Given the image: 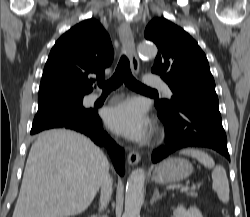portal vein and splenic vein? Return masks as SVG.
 <instances>
[{
  "instance_id": "1",
  "label": "portal vein and splenic vein",
  "mask_w": 250,
  "mask_h": 217,
  "mask_svg": "<svg viewBox=\"0 0 250 217\" xmlns=\"http://www.w3.org/2000/svg\"><path fill=\"white\" fill-rule=\"evenodd\" d=\"M189 188H190V187H189L188 184H186V185H184V186H180V190H181V191H187ZM191 188H192V189H195V188H196V185H193Z\"/></svg>"
}]
</instances>
